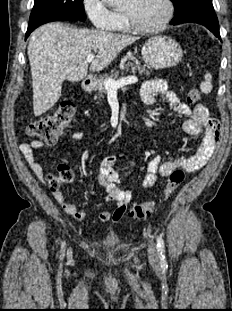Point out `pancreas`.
<instances>
[{"mask_svg": "<svg viewBox=\"0 0 232 311\" xmlns=\"http://www.w3.org/2000/svg\"><path fill=\"white\" fill-rule=\"evenodd\" d=\"M122 67H123L124 71H126V72L131 70V72L133 74H136V73H139L140 75H142V74L149 75L150 74V72L147 71L145 67H141L139 64L133 65V64L127 63L125 65H122ZM118 75H119L118 72H115V73H112L110 76H105V77H103L97 81L96 89L98 90L99 97H103L106 94L107 89H106L105 84H104L105 80H107V79L115 80L118 77Z\"/></svg>", "mask_w": 232, "mask_h": 311, "instance_id": "cf45deb5", "label": "pancreas"}]
</instances>
